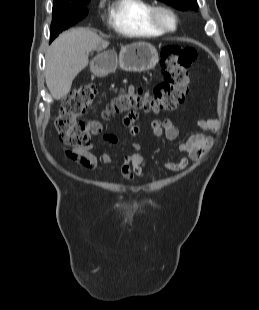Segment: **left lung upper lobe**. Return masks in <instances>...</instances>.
I'll return each mask as SVG.
<instances>
[{
	"instance_id": "obj_1",
	"label": "left lung upper lobe",
	"mask_w": 259,
	"mask_h": 310,
	"mask_svg": "<svg viewBox=\"0 0 259 310\" xmlns=\"http://www.w3.org/2000/svg\"><path fill=\"white\" fill-rule=\"evenodd\" d=\"M180 10H196L197 0H159Z\"/></svg>"
}]
</instances>
